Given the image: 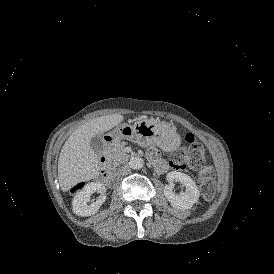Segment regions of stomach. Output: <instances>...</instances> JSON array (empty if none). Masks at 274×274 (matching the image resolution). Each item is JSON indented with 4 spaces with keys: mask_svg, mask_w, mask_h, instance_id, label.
I'll use <instances>...</instances> for the list:
<instances>
[{
    "mask_svg": "<svg viewBox=\"0 0 274 274\" xmlns=\"http://www.w3.org/2000/svg\"><path fill=\"white\" fill-rule=\"evenodd\" d=\"M107 135L111 137L113 143L124 139L142 147L155 144L168 151L175 150L180 144L173 127L152 118L139 119L133 125L119 124Z\"/></svg>",
    "mask_w": 274,
    "mask_h": 274,
    "instance_id": "stomach-1",
    "label": "stomach"
}]
</instances>
